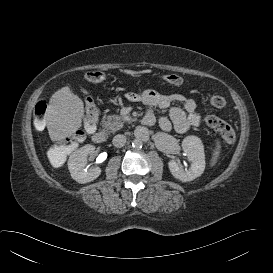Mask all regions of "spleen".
I'll list each match as a JSON object with an SVG mask.
<instances>
[{
    "instance_id": "3e777b00",
    "label": "spleen",
    "mask_w": 273,
    "mask_h": 273,
    "mask_svg": "<svg viewBox=\"0 0 273 273\" xmlns=\"http://www.w3.org/2000/svg\"><path fill=\"white\" fill-rule=\"evenodd\" d=\"M219 153H220V142L217 140L216 141V148L214 150L212 161H211L212 165H214L216 163V161L218 159V156H219Z\"/></svg>"
}]
</instances>
